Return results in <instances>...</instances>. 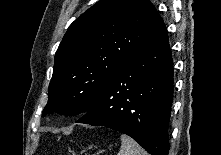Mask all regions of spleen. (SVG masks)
<instances>
[{"label": "spleen", "instance_id": "spleen-1", "mask_svg": "<svg viewBox=\"0 0 221 155\" xmlns=\"http://www.w3.org/2000/svg\"><path fill=\"white\" fill-rule=\"evenodd\" d=\"M121 148L118 155H148L139 144L127 135H121Z\"/></svg>", "mask_w": 221, "mask_h": 155}]
</instances>
